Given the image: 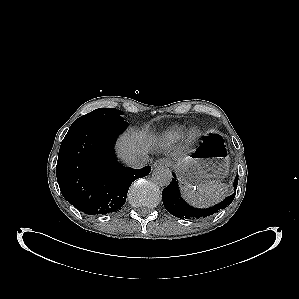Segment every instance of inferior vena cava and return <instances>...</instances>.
<instances>
[{
	"mask_svg": "<svg viewBox=\"0 0 299 299\" xmlns=\"http://www.w3.org/2000/svg\"><path fill=\"white\" fill-rule=\"evenodd\" d=\"M149 162L148 155H139L126 160V164L131 168H142Z\"/></svg>",
	"mask_w": 299,
	"mask_h": 299,
	"instance_id": "obj_1",
	"label": "inferior vena cava"
}]
</instances>
